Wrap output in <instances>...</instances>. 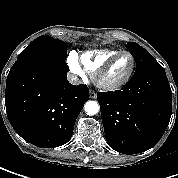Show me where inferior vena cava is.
<instances>
[{
	"label": "inferior vena cava",
	"mask_w": 178,
	"mask_h": 178,
	"mask_svg": "<svg viewBox=\"0 0 178 178\" xmlns=\"http://www.w3.org/2000/svg\"><path fill=\"white\" fill-rule=\"evenodd\" d=\"M68 80L71 84H74V85H78L81 83V80L73 74H68Z\"/></svg>",
	"instance_id": "obj_1"
}]
</instances>
